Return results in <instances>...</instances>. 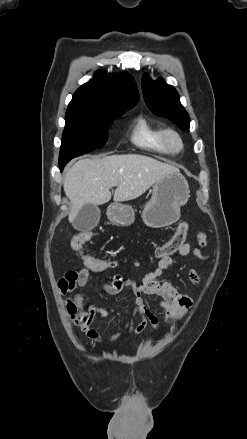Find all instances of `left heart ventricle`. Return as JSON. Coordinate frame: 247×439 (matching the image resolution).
<instances>
[{"mask_svg": "<svg viewBox=\"0 0 247 439\" xmlns=\"http://www.w3.org/2000/svg\"><path fill=\"white\" fill-rule=\"evenodd\" d=\"M173 144H175V145H176V142H175V141H173Z\"/></svg>", "mask_w": 247, "mask_h": 439, "instance_id": "left-heart-ventricle-1", "label": "left heart ventricle"}]
</instances>
